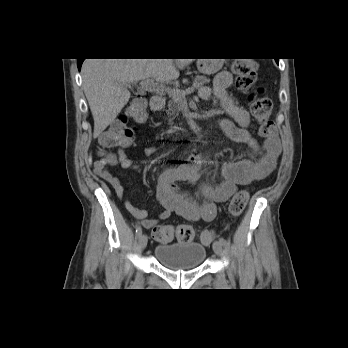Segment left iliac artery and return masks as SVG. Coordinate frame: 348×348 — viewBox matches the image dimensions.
<instances>
[{
    "mask_svg": "<svg viewBox=\"0 0 348 348\" xmlns=\"http://www.w3.org/2000/svg\"><path fill=\"white\" fill-rule=\"evenodd\" d=\"M219 241L222 245H226V240L223 237H220Z\"/></svg>",
    "mask_w": 348,
    "mask_h": 348,
    "instance_id": "1",
    "label": "left iliac artery"
}]
</instances>
